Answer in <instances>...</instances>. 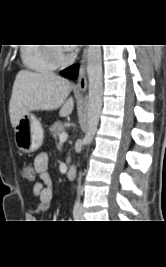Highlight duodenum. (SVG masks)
<instances>
[{
    "instance_id": "1",
    "label": "duodenum",
    "mask_w": 166,
    "mask_h": 267,
    "mask_svg": "<svg viewBox=\"0 0 166 267\" xmlns=\"http://www.w3.org/2000/svg\"><path fill=\"white\" fill-rule=\"evenodd\" d=\"M66 176L68 179H73L75 178L76 176V166L75 165H71L69 168H68V171L66 173Z\"/></svg>"
}]
</instances>
